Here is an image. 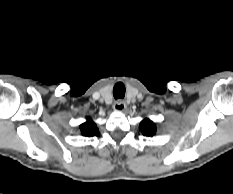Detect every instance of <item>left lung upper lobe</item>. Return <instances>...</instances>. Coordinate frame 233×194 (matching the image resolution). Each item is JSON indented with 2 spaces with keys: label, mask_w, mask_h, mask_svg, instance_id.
<instances>
[{
  "label": "left lung upper lobe",
  "mask_w": 233,
  "mask_h": 194,
  "mask_svg": "<svg viewBox=\"0 0 233 194\" xmlns=\"http://www.w3.org/2000/svg\"><path fill=\"white\" fill-rule=\"evenodd\" d=\"M140 130L145 136H153L156 133V127L150 119H144L140 123Z\"/></svg>",
  "instance_id": "1"
}]
</instances>
